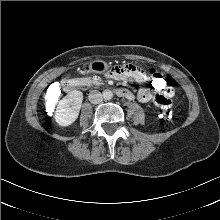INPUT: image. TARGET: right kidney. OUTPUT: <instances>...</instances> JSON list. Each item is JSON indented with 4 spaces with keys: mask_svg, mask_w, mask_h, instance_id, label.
Listing matches in <instances>:
<instances>
[{
    "mask_svg": "<svg viewBox=\"0 0 220 220\" xmlns=\"http://www.w3.org/2000/svg\"><path fill=\"white\" fill-rule=\"evenodd\" d=\"M83 100L81 91H72L59 101L55 111L56 122L63 127L69 126L77 119Z\"/></svg>",
    "mask_w": 220,
    "mask_h": 220,
    "instance_id": "right-kidney-1",
    "label": "right kidney"
}]
</instances>
